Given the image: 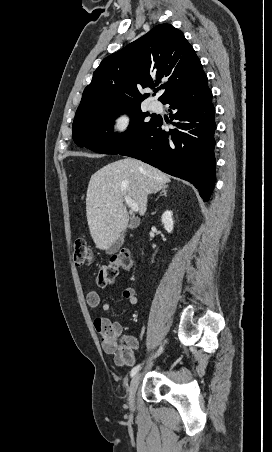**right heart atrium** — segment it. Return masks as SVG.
I'll return each instance as SVG.
<instances>
[{
	"mask_svg": "<svg viewBox=\"0 0 272 452\" xmlns=\"http://www.w3.org/2000/svg\"><path fill=\"white\" fill-rule=\"evenodd\" d=\"M132 125V116L127 111L114 113L109 120V131L114 136L126 134Z\"/></svg>",
	"mask_w": 272,
	"mask_h": 452,
	"instance_id": "right-heart-atrium-1",
	"label": "right heart atrium"
}]
</instances>
